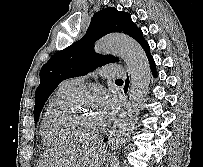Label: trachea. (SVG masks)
I'll use <instances>...</instances> for the list:
<instances>
[{"instance_id": "3493384b", "label": "trachea", "mask_w": 203, "mask_h": 167, "mask_svg": "<svg viewBox=\"0 0 203 167\" xmlns=\"http://www.w3.org/2000/svg\"><path fill=\"white\" fill-rule=\"evenodd\" d=\"M116 81H118V82H119V81H123V80H122V79H117Z\"/></svg>"}]
</instances>
